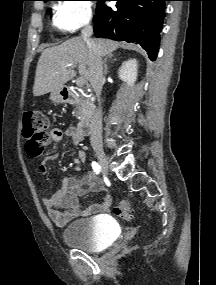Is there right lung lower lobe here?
I'll return each instance as SVG.
<instances>
[{
  "mask_svg": "<svg viewBox=\"0 0 216 285\" xmlns=\"http://www.w3.org/2000/svg\"><path fill=\"white\" fill-rule=\"evenodd\" d=\"M98 0L94 16V32L97 37L138 43L149 58L156 59L160 32L168 0H115L114 8Z\"/></svg>",
  "mask_w": 216,
  "mask_h": 285,
  "instance_id": "1",
  "label": "right lung lower lobe"
}]
</instances>
